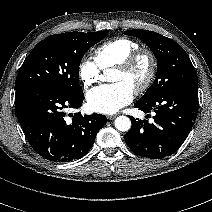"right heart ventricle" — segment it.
<instances>
[{
    "mask_svg": "<svg viewBox=\"0 0 212 212\" xmlns=\"http://www.w3.org/2000/svg\"><path fill=\"white\" fill-rule=\"evenodd\" d=\"M137 49H139L138 43L131 39L114 38L95 49V61L101 69L105 70L121 63Z\"/></svg>",
    "mask_w": 212,
    "mask_h": 212,
    "instance_id": "right-heart-ventricle-1",
    "label": "right heart ventricle"
}]
</instances>
